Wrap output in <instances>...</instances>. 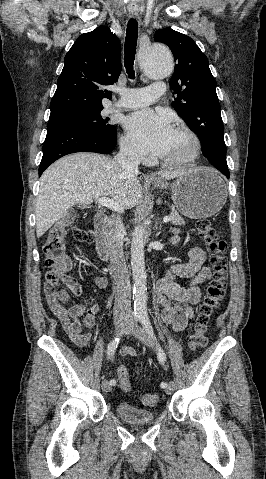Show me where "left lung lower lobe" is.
Masks as SVG:
<instances>
[{"mask_svg":"<svg viewBox=\"0 0 266 479\" xmlns=\"http://www.w3.org/2000/svg\"><path fill=\"white\" fill-rule=\"evenodd\" d=\"M218 170H220L227 178L230 177V173H229L228 168H222V169H218Z\"/></svg>","mask_w":266,"mask_h":479,"instance_id":"obj_1","label":"left lung lower lobe"}]
</instances>
